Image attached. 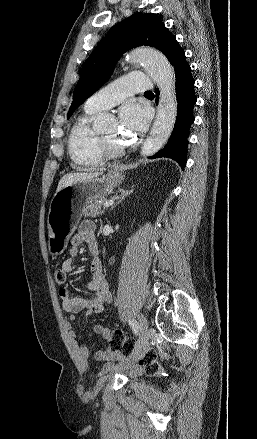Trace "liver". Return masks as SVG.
<instances>
[{"instance_id":"liver-1","label":"liver","mask_w":257,"mask_h":439,"mask_svg":"<svg viewBox=\"0 0 257 439\" xmlns=\"http://www.w3.org/2000/svg\"><path fill=\"white\" fill-rule=\"evenodd\" d=\"M102 171H96V172H76V173H69L64 175L61 180L59 181L58 187L56 192L60 191L62 188L71 185L73 183L84 181L88 179L97 178L98 176L102 175Z\"/></svg>"}]
</instances>
